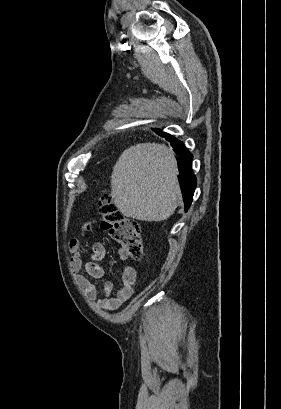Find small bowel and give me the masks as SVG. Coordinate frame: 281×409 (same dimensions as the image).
<instances>
[{
    "label": "small bowel",
    "instance_id": "obj_1",
    "mask_svg": "<svg viewBox=\"0 0 281 409\" xmlns=\"http://www.w3.org/2000/svg\"><path fill=\"white\" fill-rule=\"evenodd\" d=\"M94 220L97 222L99 219L96 217ZM82 229L89 235H92L95 232L91 222H84L82 224ZM69 248L73 254L70 261L71 271L77 274L84 269L89 276L95 280L101 281L103 284L102 292L99 295L95 284L82 275L76 276V282L79 288L90 299L97 300L98 304L105 309L114 310L131 298L137 278V271L134 267L127 266L124 268L119 288L115 294H112L113 283L106 279L104 270L96 263L97 261L102 260L105 256V249L103 245L100 243L93 244L91 248L90 261H85L83 259L81 255L80 243L77 239L70 240ZM120 256L125 258L126 255L123 251H121Z\"/></svg>",
    "mask_w": 281,
    "mask_h": 409
}]
</instances>
